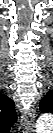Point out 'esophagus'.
Returning a JSON list of instances; mask_svg holds the SVG:
<instances>
[{
	"instance_id": "esophagus-1",
	"label": "esophagus",
	"mask_w": 53,
	"mask_h": 133,
	"mask_svg": "<svg viewBox=\"0 0 53 133\" xmlns=\"http://www.w3.org/2000/svg\"><path fill=\"white\" fill-rule=\"evenodd\" d=\"M22 127L26 133L34 132V111H23L21 116Z\"/></svg>"
}]
</instances>
